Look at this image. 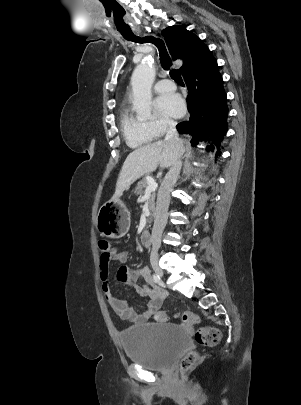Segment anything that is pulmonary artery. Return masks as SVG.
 I'll use <instances>...</instances> for the list:
<instances>
[{
  "mask_svg": "<svg viewBox=\"0 0 301 405\" xmlns=\"http://www.w3.org/2000/svg\"><path fill=\"white\" fill-rule=\"evenodd\" d=\"M153 88L154 91L157 93H167L174 91L176 89V86L171 80L163 79L155 83Z\"/></svg>",
  "mask_w": 301,
  "mask_h": 405,
  "instance_id": "obj_1",
  "label": "pulmonary artery"
}]
</instances>
